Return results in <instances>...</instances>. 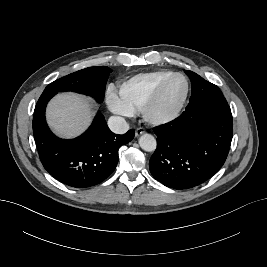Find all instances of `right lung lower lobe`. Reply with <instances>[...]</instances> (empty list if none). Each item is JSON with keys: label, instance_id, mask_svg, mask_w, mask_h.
I'll return each instance as SVG.
<instances>
[{"label": "right lung lower lobe", "instance_id": "right-lung-lower-lobe-1", "mask_svg": "<svg viewBox=\"0 0 267 267\" xmlns=\"http://www.w3.org/2000/svg\"><path fill=\"white\" fill-rule=\"evenodd\" d=\"M55 94L43 92L34 110L32 126L40 160L50 175L68 186L97 185L115 170L119 148L134 138L135 131L114 134L98 113L81 136L60 139L52 134L45 120L46 105Z\"/></svg>", "mask_w": 267, "mask_h": 267}]
</instances>
